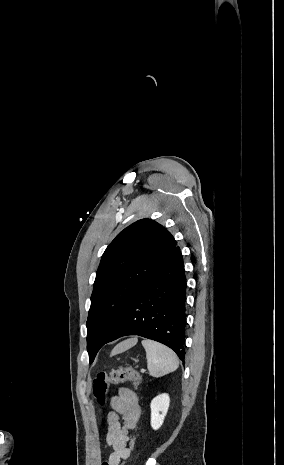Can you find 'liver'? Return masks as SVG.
<instances>
[{
  "label": "liver",
  "mask_w": 284,
  "mask_h": 465,
  "mask_svg": "<svg viewBox=\"0 0 284 465\" xmlns=\"http://www.w3.org/2000/svg\"><path fill=\"white\" fill-rule=\"evenodd\" d=\"M137 341V337H134V339H127V341H122V343H119V345H116V347H114L110 357H114V355H119V353H124V351H128V349H131V347H134V345H136Z\"/></svg>",
  "instance_id": "obj_1"
}]
</instances>
